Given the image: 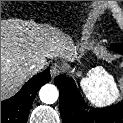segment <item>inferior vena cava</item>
<instances>
[{"label": "inferior vena cava", "mask_w": 123, "mask_h": 123, "mask_svg": "<svg viewBox=\"0 0 123 123\" xmlns=\"http://www.w3.org/2000/svg\"><path fill=\"white\" fill-rule=\"evenodd\" d=\"M42 68H43V65L31 64V65L28 67V70H29L30 72H33V71L41 70Z\"/></svg>", "instance_id": "inferior-vena-cava-1"}]
</instances>
